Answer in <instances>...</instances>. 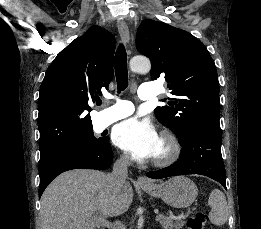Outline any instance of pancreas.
<instances>
[{"instance_id":"1","label":"pancreas","mask_w":261,"mask_h":229,"mask_svg":"<svg viewBox=\"0 0 261 229\" xmlns=\"http://www.w3.org/2000/svg\"><path fill=\"white\" fill-rule=\"evenodd\" d=\"M190 211L186 213V215H183L182 219H171V217H157L161 219V225L163 229H183L184 227V219L186 217H189Z\"/></svg>"}]
</instances>
